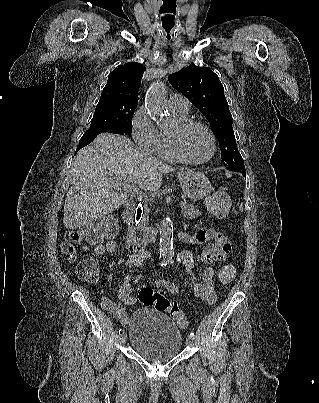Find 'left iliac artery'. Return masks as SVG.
Segmentation results:
<instances>
[{"label":"left iliac artery","instance_id":"obj_1","mask_svg":"<svg viewBox=\"0 0 319 403\" xmlns=\"http://www.w3.org/2000/svg\"><path fill=\"white\" fill-rule=\"evenodd\" d=\"M189 336H191V337H195V335H194V333H193V332H191Z\"/></svg>","mask_w":319,"mask_h":403}]
</instances>
